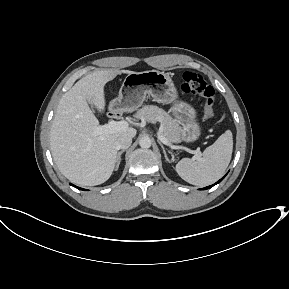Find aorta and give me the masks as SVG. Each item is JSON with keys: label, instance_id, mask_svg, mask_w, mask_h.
<instances>
[{"label": "aorta", "instance_id": "obj_1", "mask_svg": "<svg viewBox=\"0 0 289 289\" xmlns=\"http://www.w3.org/2000/svg\"><path fill=\"white\" fill-rule=\"evenodd\" d=\"M152 141L149 137H142L139 141V145L141 148H150Z\"/></svg>", "mask_w": 289, "mask_h": 289}]
</instances>
